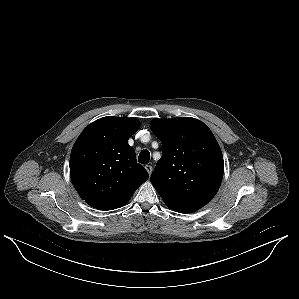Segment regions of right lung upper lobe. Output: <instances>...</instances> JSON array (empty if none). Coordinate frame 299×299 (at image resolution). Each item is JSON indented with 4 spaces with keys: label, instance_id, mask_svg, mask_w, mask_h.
<instances>
[{
    "label": "right lung upper lobe",
    "instance_id": "right-lung-upper-lobe-1",
    "mask_svg": "<svg viewBox=\"0 0 299 299\" xmlns=\"http://www.w3.org/2000/svg\"><path fill=\"white\" fill-rule=\"evenodd\" d=\"M136 118L103 117L89 124L70 156V176L79 196L99 210L125 205L149 177L127 143L137 132Z\"/></svg>",
    "mask_w": 299,
    "mask_h": 299
}]
</instances>
